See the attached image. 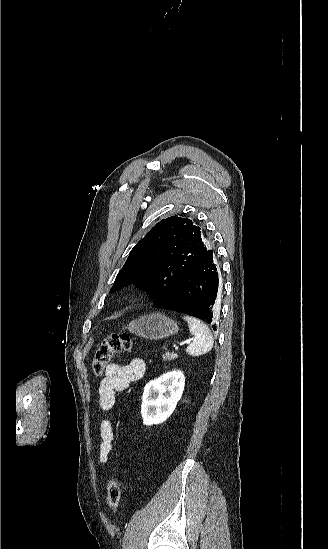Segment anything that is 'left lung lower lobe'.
<instances>
[{"instance_id": "left-lung-lower-lobe-1", "label": "left lung lower lobe", "mask_w": 328, "mask_h": 549, "mask_svg": "<svg viewBox=\"0 0 328 549\" xmlns=\"http://www.w3.org/2000/svg\"><path fill=\"white\" fill-rule=\"evenodd\" d=\"M219 291L213 250H207L183 274L170 295L154 301V307L181 312L213 324Z\"/></svg>"}]
</instances>
